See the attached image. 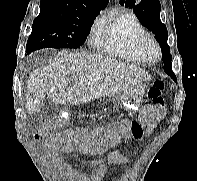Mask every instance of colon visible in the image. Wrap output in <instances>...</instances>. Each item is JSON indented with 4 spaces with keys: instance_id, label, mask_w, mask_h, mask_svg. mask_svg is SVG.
<instances>
[{
    "instance_id": "obj_1",
    "label": "colon",
    "mask_w": 197,
    "mask_h": 181,
    "mask_svg": "<svg viewBox=\"0 0 197 181\" xmlns=\"http://www.w3.org/2000/svg\"><path fill=\"white\" fill-rule=\"evenodd\" d=\"M164 89L165 83L162 80L154 81L147 93L149 103L143 108L137 120L121 121L94 129H64L70 119V114L64 112L44 124L42 134L48 137V144L52 149L71 151L76 147L82 152L92 151L100 154L122 136L132 135L140 138L154 128L165 113Z\"/></svg>"
}]
</instances>
